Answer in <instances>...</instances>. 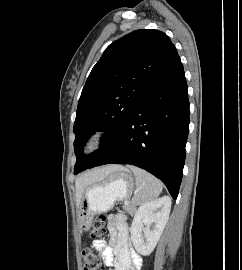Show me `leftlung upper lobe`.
I'll return each mask as SVG.
<instances>
[{"instance_id":"left-lung-upper-lobe-1","label":"left lung upper lobe","mask_w":242,"mask_h":270,"mask_svg":"<svg viewBox=\"0 0 242 270\" xmlns=\"http://www.w3.org/2000/svg\"><path fill=\"white\" fill-rule=\"evenodd\" d=\"M169 37L140 29L110 44L93 67L82 90L74 122V173L87 169L144 102L151 86L178 58ZM95 131L106 132L99 150L88 156L83 147Z\"/></svg>"}]
</instances>
